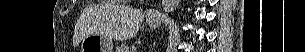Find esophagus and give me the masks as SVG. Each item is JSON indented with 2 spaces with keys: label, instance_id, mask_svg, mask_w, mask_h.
Wrapping results in <instances>:
<instances>
[{
  "label": "esophagus",
  "instance_id": "esophagus-1",
  "mask_svg": "<svg viewBox=\"0 0 305 52\" xmlns=\"http://www.w3.org/2000/svg\"><path fill=\"white\" fill-rule=\"evenodd\" d=\"M157 16V13L155 11H150L148 14H147V17L152 19V18H155Z\"/></svg>",
  "mask_w": 305,
  "mask_h": 52
}]
</instances>
